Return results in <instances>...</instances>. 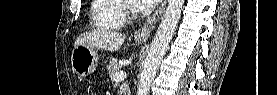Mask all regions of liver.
Segmentation results:
<instances>
[{
  "label": "liver",
  "instance_id": "liver-1",
  "mask_svg": "<svg viewBox=\"0 0 277 95\" xmlns=\"http://www.w3.org/2000/svg\"><path fill=\"white\" fill-rule=\"evenodd\" d=\"M124 42V35L108 30H94L81 34L75 41L74 47L87 45L89 47L116 52Z\"/></svg>",
  "mask_w": 277,
  "mask_h": 95
}]
</instances>
